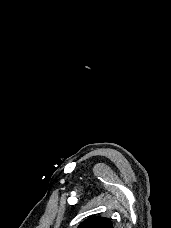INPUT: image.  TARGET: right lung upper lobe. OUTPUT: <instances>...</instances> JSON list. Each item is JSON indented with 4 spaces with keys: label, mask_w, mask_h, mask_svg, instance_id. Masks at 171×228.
<instances>
[{
    "label": "right lung upper lobe",
    "mask_w": 171,
    "mask_h": 228,
    "mask_svg": "<svg viewBox=\"0 0 171 228\" xmlns=\"http://www.w3.org/2000/svg\"><path fill=\"white\" fill-rule=\"evenodd\" d=\"M78 228H113V225L108 218L91 217L82 222Z\"/></svg>",
    "instance_id": "right-lung-upper-lobe-1"
}]
</instances>
